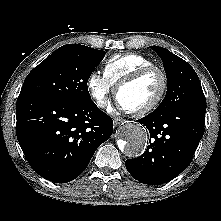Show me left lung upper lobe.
<instances>
[{"instance_id":"5c2ea615","label":"left lung upper lobe","mask_w":221,"mask_h":221,"mask_svg":"<svg viewBox=\"0 0 221 221\" xmlns=\"http://www.w3.org/2000/svg\"><path fill=\"white\" fill-rule=\"evenodd\" d=\"M161 57L168 86L164 100L156 110H174L187 106L206 107V99L194 69L167 49L151 46Z\"/></svg>"}]
</instances>
